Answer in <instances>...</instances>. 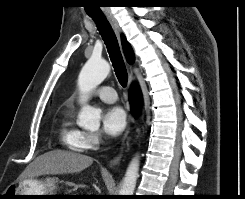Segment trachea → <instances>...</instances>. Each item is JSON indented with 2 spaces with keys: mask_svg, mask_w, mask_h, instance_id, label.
I'll return each mask as SVG.
<instances>
[{
  "mask_svg": "<svg viewBox=\"0 0 245 199\" xmlns=\"http://www.w3.org/2000/svg\"><path fill=\"white\" fill-rule=\"evenodd\" d=\"M91 18L95 22L98 31L100 32V35L102 36V39L106 45L109 57L111 59L119 83L123 87H126L128 81V74L116 35L110 23L104 15L91 16Z\"/></svg>",
  "mask_w": 245,
  "mask_h": 199,
  "instance_id": "trachea-1",
  "label": "trachea"
}]
</instances>
